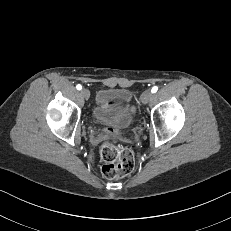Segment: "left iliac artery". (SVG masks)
<instances>
[{
  "mask_svg": "<svg viewBox=\"0 0 231 231\" xmlns=\"http://www.w3.org/2000/svg\"><path fill=\"white\" fill-rule=\"evenodd\" d=\"M157 90H158V87H157V86H154V87L151 89V92H152V93H156Z\"/></svg>",
  "mask_w": 231,
  "mask_h": 231,
  "instance_id": "1",
  "label": "left iliac artery"
}]
</instances>
